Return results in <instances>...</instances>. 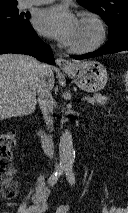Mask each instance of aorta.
Returning <instances> with one entry per match:
<instances>
[{"instance_id": "obj_1", "label": "aorta", "mask_w": 128, "mask_h": 213, "mask_svg": "<svg viewBox=\"0 0 128 213\" xmlns=\"http://www.w3.org/2000/svg\"><path fill=\"white\" fill-rule=\"evenodd\" d=\"M59 157L61 167L70 168L73 166L75 150L73 148V138L69 130H65L60 137Z\"/></svg>"}]
</instances>
